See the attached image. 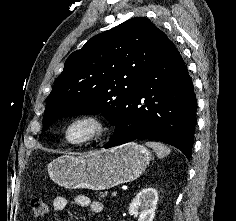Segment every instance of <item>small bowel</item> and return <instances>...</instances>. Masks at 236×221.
<instances>
[{"mask_svg": "<svg viewBox=\"0 0 236 221\" xmlns=\"http://www.w3.org/2000/svg\"><path fill=\"white\" fill-rule=\"evenodd\" d=\"M75 203L78 207L89 208L90 211L95 214H101L103 212V205L99 201H92L85 195H78L75 198ZM67 206V199L62 196L55 197L52 201V208L56 212L63 211Z\"/></svg>", "mask_w": 236, "mask_h": 221, "instance_id": "small-bowel-1", "label": "small bowel"}]
</instances>
